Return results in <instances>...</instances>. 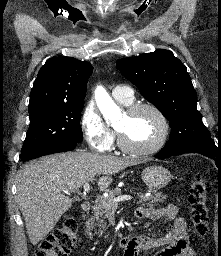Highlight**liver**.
Segmentation results:
<instances>
[{
	"label": "liver",
	"mask_w": 221,
	"mask_h": 256,
	"mask_svg": "<svg viewBox=\"0 0 221 256\" xmlns=\"http://www.w3.org/2000/svg\"><path fill=\"white\" fill-rule=\"evenodd\" d=\"M137 159L119 158L84 151L49 155L29 163L19 170L16 178L17 201L24 217L30 242L36 245L52 231L60 217L71 207L65 193L85 183L93 182L106 189L112 175L141 163Z\"/></svg>",
	"instance_id": "1"
}]
</instances>
